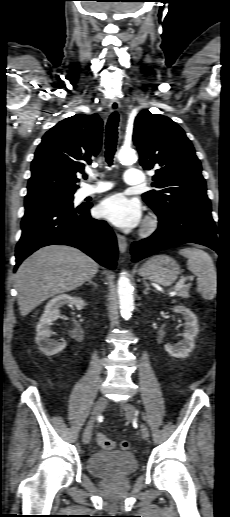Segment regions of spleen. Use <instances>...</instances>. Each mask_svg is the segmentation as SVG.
Instances as JSON below:
<instances>
[{"label": "spleen", "instance_id": "3e777b00", "mask_svg": "<svg viewBox=\"0 0 230 517\" xmlns=\"http://www.w3.org/2000/svg\"><path fill=\"white\" fill-rule=\"evenodd\" d=\"M179 254L188 258V269L197 276V290L202 297L213 299L217 293V272L210 255L198 248H184Z\"/></svg>", "mask_w": 230, "mask_h": 517}]
</instances>
